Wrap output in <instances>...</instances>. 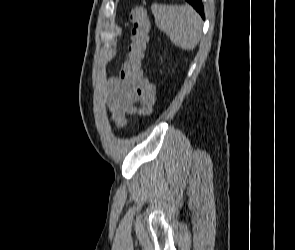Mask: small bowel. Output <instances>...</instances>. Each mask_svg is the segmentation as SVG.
Returning a JSON list of instances; mask_svg holds the SVG:
<instances>
[{
    "mask_svg": "<svg viewBox=\"0 0 295 250\" xmlns=\"http://www.w3.org/2000/svg\"><path fill=\"white\" fill-rule=\"evenodd\" d=\"M139 99L134 86L123 80L121 76L111 80L107 93V104L111 118L118 127L122 128L127 125L128 115L143 113L137 107Z\"/></svg>",
    "mask_w": 295,
    "mask_h": 250,
    "instance_id": "small-bowel-1",
    "label": "small bowel"
}]
</instances>
